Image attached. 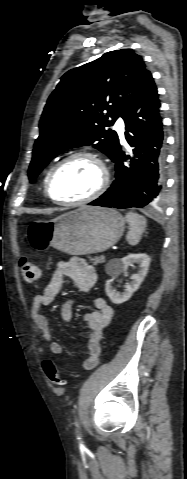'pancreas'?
Masks as SVG:
<instances>
[{
  "label": "pancreas",
  "instance_id": "1",
  "mask_svg": "<svg viewBox=\"0 0 187 479\" xmlns=\"http://www.w3.org/2000/svg\"><path fill=\"white\" fill-rule=\"evenodd\" d=\"M91 260L93 261V265H97L99 263H104L105 262V260L102 259L99 256H95V257L91 258Z\"/></svg>",
  "mask_w": 187,
  "mask_h": 479
}]
</instances>
